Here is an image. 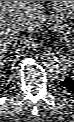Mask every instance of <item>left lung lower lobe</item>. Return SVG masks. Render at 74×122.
I'll return each instance as SVG.
<instances>
[{"instance_id":"0a47b994","label":"left lung lower lobe","mask_w":74,"mask_h":122,"mask_svg":"<svg viewBox=\"0 0 74 122\" xmlns=\"http://www.w3.org/2000/svg\"><path fill=\"white\" fill-rule=\"evenodd\" d=\"M60 85L64 89L74 92V78L68 76L63 81L60 82Z\"/></svg>"}]
</instances>
